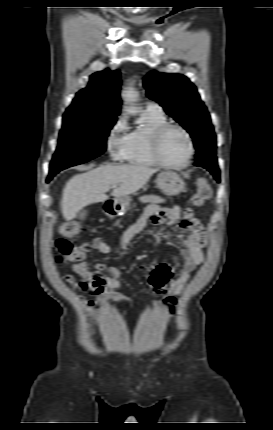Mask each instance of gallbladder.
Here are the masks:
<instances>
[{
	"label": "gallbladder",
	"instance_id": "gallbladder-1",
	"mask_svg": "<svg viewBox=\"0 0 273 430\" xmlns=\"http://www.w3.org/2000/svg\"><path fill=\"white\" fill-rule=\"evenodd\" d=\"M87 215V211L86 210H82L79 214H78V218L83 219L85 218V216Z\"/></svg>",
	"mask_w": 273,
	"mask_h": 430
}]
</instances>
